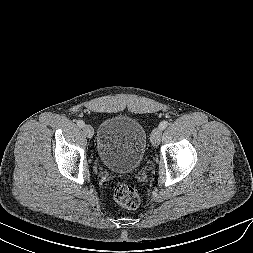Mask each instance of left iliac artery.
Masks as SVG:
<instances>
[{"label":"left iliac artery","mask_w":253,"mask_h":253,"mask_svg":"<svg viewBox=\"0 0 253 253\" xmlns=\"http://www.w3.org/2000/svg\"><path fill=\"white\" fill-rule=\"evenodd\" d=\"M167 126H168V122L167 121H162L159 124V128L162 129V130H164Z\"/></svg>","instance_id":"44dca946"}]
</instances>
